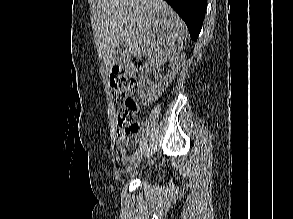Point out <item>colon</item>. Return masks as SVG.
Masks as SVG:
<instances>
[{"instance_id":"obj_1","label":"colon","mask_w":293,"mask_h":219,"mask_svg":"<svg viewBox=\"0 0 293 219\" xmlns=\"http://www.w3.org/2000/svg\"><path fill=\"white\" fill-rule=\"evenodd\" d=\"M143 62L140 59L116 66L110 74L111 95L117 104L118 130L124 134L137 132L138 103L134 99L136 89V77L142 68Z\"/></svg>"}]
</instances>
